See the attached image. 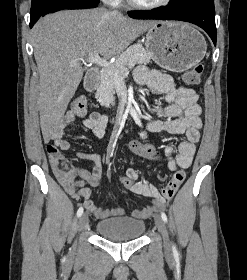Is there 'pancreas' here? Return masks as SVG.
<instances>
[{"label": "pancreas", "instance_id": "pancreas-1", "mask_svg": "<svg viewBox=\"0 0 247 280\" xmlns=\"http://www.w3.org/2000/svg\"><path fill=\"white\" fill-rule=\"evenodd\" d=\"M151 56L141 44H135L123 52L115 61L113 68H104L100 77V85L97 88L95 98L105 107L114 104V94L116 89V79L125 75L128 68H133L136 64H148Z\"/></svg>", "mask_w": 247, "mask_h": 280}]
</instances>
